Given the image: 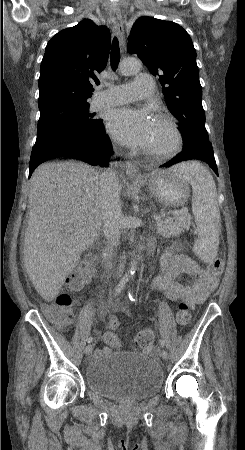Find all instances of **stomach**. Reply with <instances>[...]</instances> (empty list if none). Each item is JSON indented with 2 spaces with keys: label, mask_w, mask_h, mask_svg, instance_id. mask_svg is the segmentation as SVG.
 <instances>
[{
  "label": "stomach",
  "mask_w": 245,
  "mask_h": 450,
  "mask_svg": "<svg viewBox=\"0 0 245 450\" xmlns=\"http://www.w3.org/2000/svg\"><path fill=\"white\" fill-rule=\"evenodd\" d=\"M148 191L166 207L181 206L190 196L188 181L180 176L175 167L151 173L148 180Z\"/></svg>",
  "instance_id": "stomach-1"
}]
</instances>
